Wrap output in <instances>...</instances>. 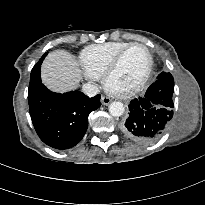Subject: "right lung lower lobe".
Masks as SVG:
<instances>
[{"label": "right lung lower lobe", "instance_id": "right-lung-lower-lobe-1", "mask_svg": "<svg viewBox=\"0 0 205 205\" xmlns=\"http://www.w3.org/2000/svg\"><path fill=\"white\" fill-rule=\"evenodd\" d=\"M45 53L34 65L29 83L28 103L34 128L40 139L56 149L78 144L88 127V115L101 106L98 94L89 98L80 91L64 94L48 90L41 82L40 68Z\"/></svg>", "mask_w": 205, "mask_h": 205}]
</instances>
